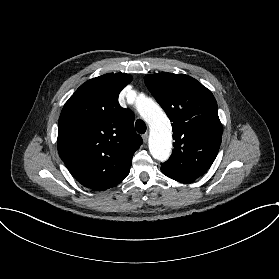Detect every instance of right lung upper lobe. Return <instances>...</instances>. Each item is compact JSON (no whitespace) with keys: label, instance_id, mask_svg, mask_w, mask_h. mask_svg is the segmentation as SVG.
Listing matches in <instances>:
<instances>
[{"label":"right lung upper lobe","instance_id":"cb5924a9","mask_svg":"<svg viewBox=\"0 0 279 279\" xmlns=\"http://www.w3.org/2000/svg\"><path fill=\"white\" fill-rule=\"evenodd\" d=\"M132 80L110 73L82 84L64 105L58 124V152L83 186L102 191L129 174L134 152L143 143L134 114L119 105L120 91Z\"/></svg>","mask_w":279,"mask_h":279}]
</instances>
